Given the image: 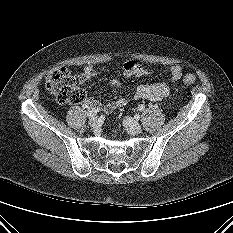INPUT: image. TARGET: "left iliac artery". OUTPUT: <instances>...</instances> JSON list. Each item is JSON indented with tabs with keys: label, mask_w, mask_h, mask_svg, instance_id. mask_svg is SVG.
Instances as JSON below:
<instances>
[{
	"label": "left iliac artery",
	"mask_w": 233,
	"mask_h": 233,
	"mask_svg": "<svg viewBox=\"0 0 233 233\" xmlns=\"http://www.w3.org/2000/svg\"><path fill=\"white\" fill-rule=\"evenodd\" d=\"M144 109H145V106L143 104H141V105L138 106V110L139 111H143Z\"/></svg>",
	"instance_id": "obj_1"
}]
</instances>
